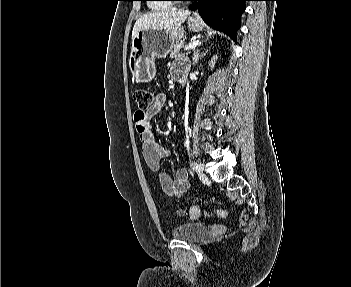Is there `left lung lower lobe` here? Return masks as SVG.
I'll use <instances>...</instances> for the list:
<instances>
[{
    "label": "left lung lower lobe",
    "instance_id": "obj_1",
    "mask_svg": "<svg viewBox=\"0 0 351 287\" xmlns=\"http://www.w3.org/2000/svg\"><path fill=\"white\" fill-rule=\"evenodd\" d=\"M191 10H198L203 20L212 28L229 35L233 40L240 27V16L249 0H190Z\"/></svg>",
    "mask_w": 351,
    "mask_h": 287
}]
</instances>
